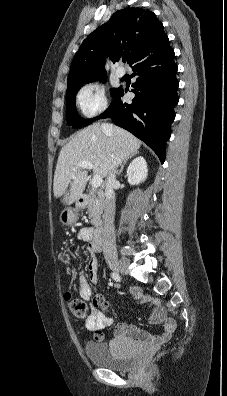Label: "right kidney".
Here are the masks:
<instances>
[{
  "mask_svg": "<svg viewBox=\"0 0 227 396\" xmlns=\"http://www.w3.org/2000/svg\"><path fill=\"white\" fill-rule=\"evenodd\" d=\"M147 163L144 157L135 158L127 169V177L130 185H138L147 178Z\"/></svg>",
  "mask_w": 227,
  "mask_h": 396,
  "instance_id": "1",
  "label": "right kidney"
}]
</instances>
